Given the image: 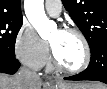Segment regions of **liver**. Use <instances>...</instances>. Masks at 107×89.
Masks as SVG:
<instances>
[{"mask_svg": "<svg viewBox=\"0 0 107 89\" xmlns=\"http://www.w3.org/2000/svg\"><path fill=\"white\" fill-rule=\"evenodd\" d=\"M42 84L41 79H25L18 74L14 76L0 75V89H41ZM57 84L62 85L65 83L58 81ZM71 85H80L82 89H106V86L101 83Z\"/></svg>", "mask_w": 107, "mask_h": 89, "instance_id": "1", "label": "liver"}]
</instances>
